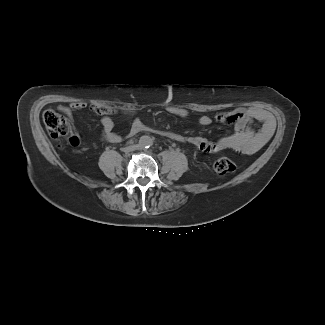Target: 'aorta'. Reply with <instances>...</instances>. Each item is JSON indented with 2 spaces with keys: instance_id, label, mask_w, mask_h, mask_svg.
<instances>
[{
  "instance_id": "1",
  "label": "aorta",
  "mask_w": 325,
  "mask_h": 325,
  "mask_svg": "<svg viewBox=\"0 0 325 325\" xmlns=\"http://www.w3.org/2000/svg\"><path fill=\"white\" fill-rule=\"evenodd\" d=\"M152 144H153V140L148 135H143L139 139V146L143 149L149 148L150 146H152Z\"/></svg>"
}]
</instances>
